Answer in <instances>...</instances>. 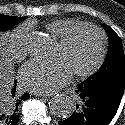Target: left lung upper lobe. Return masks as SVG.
I'll return each instance as SVG.
<instances>
[{
  "instance_id": "1",
  "label": "left lung upper lobe",
  "mask_w": 125,
  "mask_h": 125,
  "mask_svg": "<svg viewBox=\"0 0 125 125\" xmlns=\"http://www.w3.org/2000/svg\"><path fill=\"white\" fill-rule=\"evenodd\" d=\"M109 37V52L102 67L82 82L87 88L117 80H125V57L121 39L109 26L104 25Z\"/></svg>"
}]
</instances>
